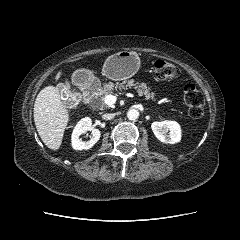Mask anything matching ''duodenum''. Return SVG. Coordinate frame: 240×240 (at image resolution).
Instances as JSON below:
<instances>
[{
  "instance_id": "1",
  "label": "duodenum",
  "mask_w": 240,
  "mask_h": 240,
  "mask_svg": "<svg viewBox=\"0 0 240 240\" xmlns=\"http://www.w3.org/2000/svg\"><path fill=\"white\" fill-rule=\"evenodd\" d=\"M83 99L88 102L98 90V82L94 79L86 78L82 83Z\"/></svg>"
}]
</instances>
